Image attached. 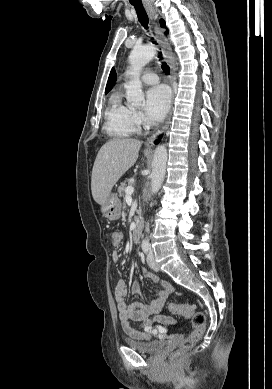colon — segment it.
<instances>
[{
  "mask_svg": "<svg viewBox=\"0 0 272 389\" xmlns=\"http://www.w3.org/2000/svg\"><path fill=\"white\" fill-rule=\"evenodd\" d=\"M110 240L114 246H119L122 242V234L118 231H112L110 233ZM169 309L174 314L191 318L193 325V331L183 340L179 349L171 357L172 363L178 364L204 334L206 318L203 313L194 312L193 307L189 304L171 303Z\"/></svg>",
  "mask_w": 272,
  "mask_h": 389,
  "instance_id": "1",
  "label": "colon"
}]
</instances>
